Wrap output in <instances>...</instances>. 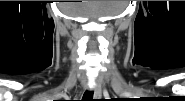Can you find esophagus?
Instances as JSON below:
<instances>
[{"label":"esophagus","instance_id":"34e87169","mask_svg":"<svg viewBox=\"0 0 185 101\" xmlns=\"http://www.w3.org/2000/svg\"><path fill=\"white\" fill-rule=\"evenodd\" d=\"M90 90H92L94 92L95 99H98L102 96L101 88L98 85L91 86Z\"/></svg>","mask_w":185,"mask_h":101}]
</instances>
